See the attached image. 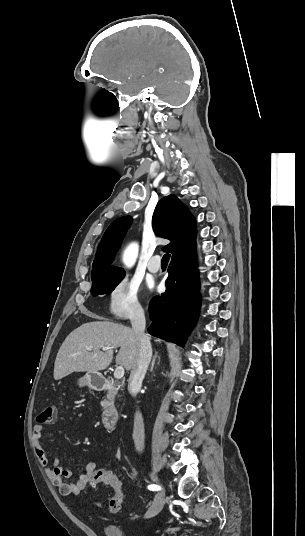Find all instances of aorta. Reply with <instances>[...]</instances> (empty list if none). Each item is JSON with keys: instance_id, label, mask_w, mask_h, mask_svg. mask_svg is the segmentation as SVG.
Here are the masks:
<instances>
[{"instance_id": "obj_1", "label": "aorta", "mask_w": 305, "mask_h": 536, "mask_svg": "<svg viewBox=\"0 0 305 536\" xmlns=\"http://www.w3.org/2000/svg\"><path fill=\"white\" fill-rule=\"evenodd\" d=\"M139 246L136 243L130 244L123 254V262L127 267H132L137 259Z\"/></svg>"}]
</instances>
